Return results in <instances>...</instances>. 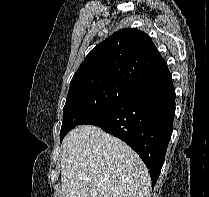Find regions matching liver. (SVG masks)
<instances>
[{
	"mask_svg": "<svg viewBox=\"0 0 209 197\" xmlns=\"http://www.w3.org/2000/svg\"><path fill=\"white\" fill-rule=\"evenodd\" d=\"M61 149L60 197H148L151 179L141 158L101 128L72 129Z\"/></svg>",
	"mask_w": 209,
	"mask_h": 197,
	"instance_id": "6515ba94",
	"label": "liver"
}]
</instances>
